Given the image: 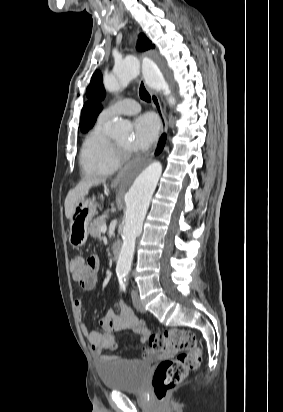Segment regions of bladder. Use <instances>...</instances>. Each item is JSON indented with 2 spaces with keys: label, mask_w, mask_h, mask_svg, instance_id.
I'll return each mask as SVG.
<instances>
[{
  "label": "bladder",
  "mask_w": 283,
  "mask_h": 412,
  "mask_svg": "<svg viewBox=\"0 0 283 412\" xmlns=\"http://www.w3.org/2000/svg\"><path fill=\"white\" fill-rule=\"evenodd\" d=\"M149 365L145 362L115 360L99 373L103 385L111 390L140 392L145 387Z\"/></svg>",
  "instance_id": "31cf9c89"
}]
</instances>
